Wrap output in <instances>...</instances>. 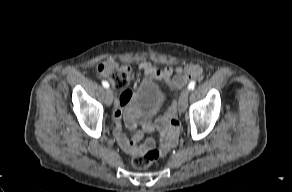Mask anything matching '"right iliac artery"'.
<instances>
[{
	"label": "right iliac artery",
	"mask_w": 292,
	"mask_h": 192,
	"mask_svg": "<svg viewBox=\"0 0 292 192\" xmlns=\"http://www.w3.org/2000/svg\"><path fill=\"white\" fill-rule=\"evenodd\" d=\"M102 85L104 88H109V83L105 80L102 81Z\"/></svg>",
	"instance_id": "82829eb1"
}]
</instances>
